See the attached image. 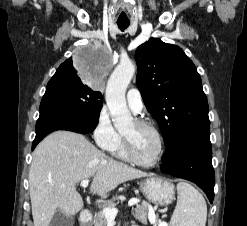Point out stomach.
Returning <instances> with one entry per match:
<instances>
[{
    "instance_id": "0dacf381",
    "label": "stomach",
    "mask_w": 247,
    "mask_h": 226,
    "mask_svg": "<svg viewBox=\"0 0 247 226\" xmlns=\"http://www.w3.org/2000/svg\"><path fill=\"white\" fill-rule=\"evenodd\" d=\"M143 195L152 203L168 205L174 200V185L161 177H149L139 183Z\"/></svg>"
}]
</instances>
